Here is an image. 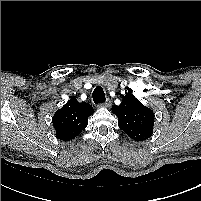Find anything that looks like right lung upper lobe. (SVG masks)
Here are the masks:
<instances>
[{
	"mask_svg": "<svg viewBox=\"0 0 201 201\" xmlns=\"http://www.w3.org/2000/svg\"><path fill=\"white\" fill-rule=\"evenodd\" d=\"M94 113L88 103H79L71 98L52 118L56 130V137L63 141H70L84 130L88 124V117Z\"/></svg>",
	"mask_w": 201,
	"mask_h": 201,
	"instance_id": "right-lung-upper-lobe-1",
	"label": "right lung upper lobe"
}]
</instances>
